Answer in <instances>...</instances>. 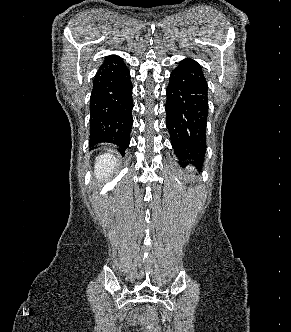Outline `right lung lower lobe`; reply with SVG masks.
<instances>
[{"mask_svg":"<svg viewBox=\"0 0 291 332\" xmlns=\"http://www.w3.org/2000/svg\"><path fill=\"white\" fill-rule=\"evenodd\" d=\"M132 83L119 57L105 60L93 80L90 98V144L119 146L123 153L130 143L132 128Z\"/></svg>","mask_w":291,"mask_h":332,"instance_id":"right-lung-lower-lobe-1","label":"right lung lower lobe"}]
</instances>
